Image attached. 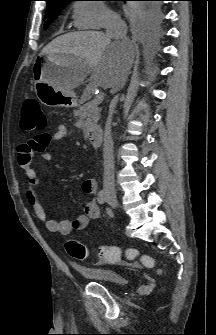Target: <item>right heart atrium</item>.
Segmentation results:
<instances>
[{
    "label": "right heart atrium",
    "instance_id": "right-heart-atrium-1",
    "mask_svg": "<svg viewBox=\"0 0 216 335\" xmlns=\"http://www.w3.org/2000/svg\"><path fill=\"white\" fill-rule=\"evenodd\" d=\"M74 19L79 28L100 29L119 21V16L98 1H77L74 4Z\"/></svg>",
    "mask_w": 216,
    "mask_h": 335
}]
</instances>
